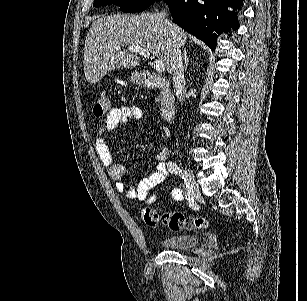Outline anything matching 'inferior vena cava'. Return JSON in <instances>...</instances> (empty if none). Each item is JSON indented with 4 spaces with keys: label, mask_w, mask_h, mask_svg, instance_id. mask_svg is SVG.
<instances>
[{
    "label": "inferior vena cava",
    "mask_w": 307,
    "mask_h": 301,
    "mask_svg": "<svg viewBox=\"0 0 307 301\" xmlns=\"http://www.w3.org/2000/svg\"><path fill=\"white\" fill-rule=\"evenodd\" d=\"M159 16L161 18H165L167 16L166 10H162V12H158ZM165 22L174 38V46H173V52L171 56V66L173 68V88L174 92L180 100V102H183L184 100V88L186 84L185 80V74H184V66L182 62V52L180 48V44H176L177 40V28H174L172 22H169L167 18H165Z\"/></svg>",
    "instance_id": "obj_1"
}]
</instances>
